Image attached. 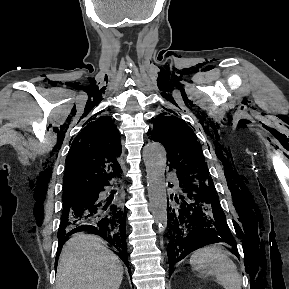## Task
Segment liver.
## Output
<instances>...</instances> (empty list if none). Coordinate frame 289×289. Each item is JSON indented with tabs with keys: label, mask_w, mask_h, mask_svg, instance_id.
Here are the masks:
<instances>
[{
	"label": "liver",
	"mask_w": 289,
	"mask_h": 289,
	"mask_svg": "<svg viewBox=\"0 0 289 289\" xmlns=\"http://www.w3.org/2000/svg\"><path fill=\"white\" fill-rule=\"evenodd\" d=\"M123 266L101 238L74 234L60 254L55 289H118Z\"/></svg>",
	"instance_id": "1"
}]
</instances>
